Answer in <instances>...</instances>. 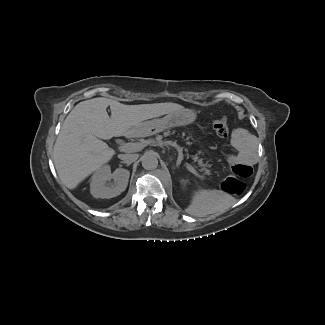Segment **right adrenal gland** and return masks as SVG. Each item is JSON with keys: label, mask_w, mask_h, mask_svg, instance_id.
<instances>
[{"label": "right adrenal gland", "mask_w": 325, "mask_h": 325, "mask_svg": "<svg viewBox=\"0 0 325 325\" xmlns=\"http://www.w3.org/2000/svg\"><path fill=\"white\" fill-rule=\"evenodd\" d=\"M121 164L119 166H122V164H126V166L128 167L130 165V163H126V162H120Z\"/></svg>", "instance_id": "obj_1"}]
</instances>
